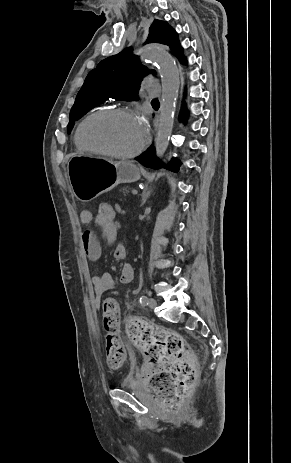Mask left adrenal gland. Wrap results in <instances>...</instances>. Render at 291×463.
<instances>
[{"label":"left adrenal gland","instance_id":"a2214340","mask_svg":"<svg viewBox=\"0 0 291 463\" xmlns=\"http://www.w3.org/2000/svg\"><path fill=\"white\" fill-rule=\"evenodd\" d=\"M151 195V190H147L145 189L144 192L142 193L141 195V204L140 206H143L146 201H147V198Z\"/></svg>","mask_w":291,"mask_h":463}]
</instances>
